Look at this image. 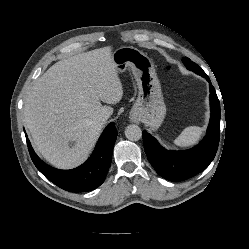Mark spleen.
I'll use <instances>...</instances> for the list:
<instances>
[{
	"label": "spleen",
	"instance_id": "3e777b00",
	"mask_svg": "<svg viewBox=\"0 0 249 249\" xmlns=\"http://www.w3.org/2000/svg\"><path fill=\"white\" fill-rule=\"evenodd\" d=\"M202 130L198 126L186 127L181 134L174 140V143L180 147L194 145L200 138Z\"/></svg>",
	"mask_w": 249,
	"mask_h": 249
}]
</instances>
